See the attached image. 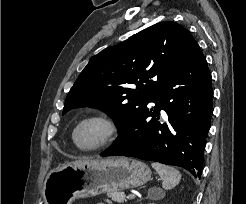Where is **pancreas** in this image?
Returning <instances> with one entry per match:
<instances>
[{"instance_id": "cf45deb5", "label": "pancreas", "mask_w": 246, "mask_h": 204, "mask_svg": "<svg viewBox=\"0 0 246 204\" xmlns=\"http://www.w3.org/2000/svg\"><path fill=\"white\" fill-rule=\"evenodd\" d=\"M108 197L115 202L121 203L125 200V194L121 191H111L107 193Z\"/></svg>"}]
</instances>
